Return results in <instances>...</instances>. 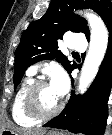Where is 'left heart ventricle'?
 I'll return each instance as SVG.
<instances>
[{"label":"left heart ventricle","mask_w":112,"mask_h":135,"mask_svg":"<svg viewBox=\"0 0 112 135\" xmlns=\"http://www.w3.org/2000/svg\"><path fill=\"white\" fill-rule=\"evenodd\" d=\"M61 99L58 97L50 84L43 85L37 92V104L42 112H50L54 110L60 103Z\"/></svg>","instance_id":"obj_1"}]
</instances>
